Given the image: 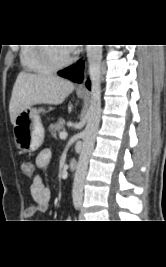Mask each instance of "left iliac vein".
<instances>
[{"label": "left iliac vein", "mask_w": 166, "mask_h": 267, "mask_svg": "<svg viewBox=\"0 0 166 267\" xmlns=\"http://www.w3.org/2000/svg\"><path fill=\"white\" fill-rule=\"evenodd\" d=\"M79 219H80L81 221H84V215H83V213H80V215H79Z\"/></svg>", "instance_id": "left-iliac-vein-1"}]
</instances>
